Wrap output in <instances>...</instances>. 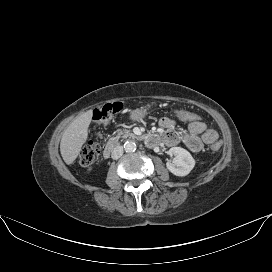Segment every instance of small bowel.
<instances>
[{"label": "small bowel", "instance_id": "obj_1", "mask_svg": "<svg viewBox=\"0 0 272 272\" xmlns=\"http://www.w3.org/2000/svg\"><path fill=\"white\" fill-rule=\"evenodd\" d=\"M159 125L165 130L163 140L167 145L174 146L182 141L193 152L201 151L204 144H212L218 139L217 132L200 120L190 121L184 133L175 129L176 122L169 117L161 118Z\"/></svg>", "mask_w": 272, "mask_h": 272}]
</instances>
